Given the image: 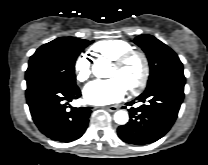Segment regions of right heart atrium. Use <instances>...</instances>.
I'll return each instance as SVG.
<instances>
[{"mask_svg":"<svg viewBox=\"0 0 208 165\" xmlns=\"http://www.w3.org/2000/svg\"><path fill=\"white\" fill-rule=\"evenodd\" d=\"M76 78L80 82L86 81L91 75V63L89 58L82 54L78 56L74 63Z\"/></svg>","mask_w":208,"mask_h":165,"instance_id":"right-heart-atrium-1","label":"right heart atrium"}]
</instances>
